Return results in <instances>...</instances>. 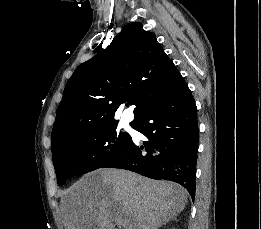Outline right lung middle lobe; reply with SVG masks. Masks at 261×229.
Listing matches in <instances>:
<instances>
[{
	"mask_svg": "<svg viewBox=\"0 0 261 229\" xmlns=\"http://www.w3.org/2000/svg\"><path fill=\"white\" fill-rule=\"evenodd\" d=\"M115 128L108 125L78 128L52 150L58 183L65 184L70 177L101 168L124 151L132 139L128 134H117Z\"/></svg>",
	"mask_w": 261,
	"mask_h": 229,
	"instance_id": "obj_1",
	"label": "right lung middle lobe"
}]
</instances>
